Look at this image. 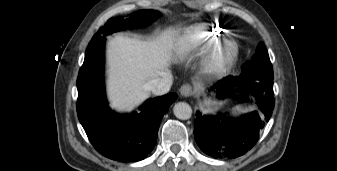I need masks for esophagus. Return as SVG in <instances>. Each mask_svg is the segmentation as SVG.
<instances>
[{"label": "esophagus", "instance_id": "obj_1", "mask_svg": "<svg viewBox=\"0 0 337 171\" xmlns=\"http://www.w3.org/2000/svg\"><path fill=\"white\" fill-rule=\"evenodd\" d=\"M180 93L183 97H189L193 94V89L190 84H184L180 88Z\"/></svg>", "mask_w": 337, "mask_h": 171}]
</instances>
